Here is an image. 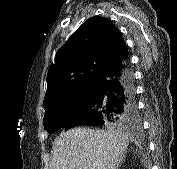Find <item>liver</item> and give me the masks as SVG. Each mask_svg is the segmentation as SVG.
<instances>
[{"instance_id":"obj_1","label":"liver","mask_w":177,"mask_h":169,"mask_svg":"<svg viewBox=\"0 0 177 169\" xmlns=\"http://www.w3.org/2000/svg\"><path fill=\"white\" fill-rule=\"evenodd\" d=\"M128 144V134L122 128L71 129L54 141L51 169H116Z\"/></svg>"}]
</instances>
